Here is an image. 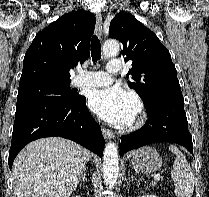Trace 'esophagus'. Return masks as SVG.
<instances>
[{"mask_svg": "<svg viewBox=\"0 0 209 197\" xmlns=\"http://www.w3.org/2000/svg\"><path fill=\"white\" fill-rule=\"evenodd\" d=\"M96 30L99 37H102V16L99 12L96 13ZM102 134L106 140L114 139V134L111 130L102 128Z\"/></svg>", "mask_w": 209, "mask_h": 197, "instance_id": "obj_1", "label": "esophagus"}]
</instances>
